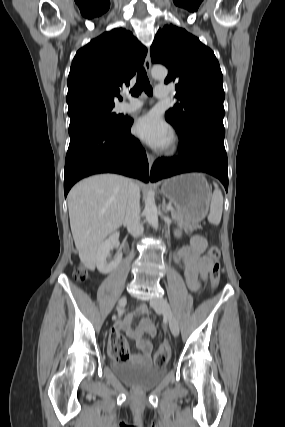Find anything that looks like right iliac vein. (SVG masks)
I'll return each instance as SVG.
<instances>
[{
    "label": "right iliac vein",
    "instance_id": "1",
    "mask_svg": "<svg viewBox=\"0 0 285 427\" xmlns=\"http://www.w3.org/2000/svg\"><path fill=\"white\" fill-rule=\"evenodd\" d=\"M126 301H127L126 296H123L118 302L117 309L118 310L121 309L126 304Z\"/></svg>",
    "mask_w": 285,
    "mask_h": 427
}]
</instances>
